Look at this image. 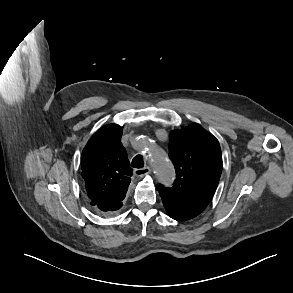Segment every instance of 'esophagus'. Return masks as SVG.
I'll return each mask as SVG.
<instances>
[{
  "mask_svg": "<svg viewBox=\"0 0 293 293\" xmlns=\"http://www.w3.org/2000/svg\"><path fill=\"white\" fill-rule=\"evenodd\" d=\"M151 173V169L149 167L139 168L134 171V174L138 177H143Z\"/></svg>",
  "mask_w": 293,
  "mask_h": 293,
  "instance_id": "1",
  "label": "esophagus"
}]
</instances>
